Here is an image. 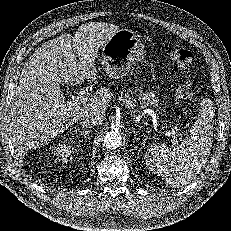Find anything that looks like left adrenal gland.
<instances>
[{
    "label": "left adrenal gland",
    "instance_id": "1",
    "mask_svg": "<svg viewBox=\"0 0 231 231\" xmlns=\"http://www.w3.org/2000/svg\"><path fill=\"white\" fill-rule=\"evenodd\" d=\"M133 132H134V134H135V130H133ZM137 148H138V146H137V145H135V150H137Z\"/></svg>",
    "mask_w": 231,
    "mask_h": 231
}]
</instances>
